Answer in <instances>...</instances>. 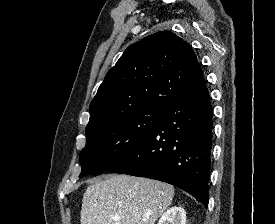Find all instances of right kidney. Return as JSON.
<instances>
[{
    "instance_id": "right-kidney-1",
    "label": "right kidney",
    "mask_w": 275,
    "mask_h": 224,
    "mask_svg": "<svg viewBox=\"0 0 275 224\" xmlns=\"http://www.w3.org/2000/svg\"><path fill=\"white\" fill-rule=\"evenodd\" d=\"M157 224H186V212L182 207L168 209Z\"/></svg>"
}]
</instances>
